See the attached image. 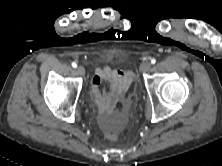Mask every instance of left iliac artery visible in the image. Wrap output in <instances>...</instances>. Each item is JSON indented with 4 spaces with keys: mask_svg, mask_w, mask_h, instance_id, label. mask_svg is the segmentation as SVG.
<instances>
[{
    "mask_svg": "<svg viewBox=\"0 0 222 166\" xmlns=\"http://www.w3.org/2000/svg\"><path fill=\"white\" fill-rule=\"evenodd\" d=\"M151 63H152V64H155V63H156V59H154V58L151 59Z\"/></svg>",
    "mask_w": 222,
    "mask_h": 166,
    "instance_id": "obj_1",
    "label": "left iliac artery"
}]
</instances>
